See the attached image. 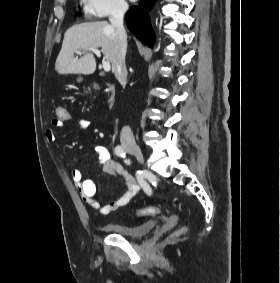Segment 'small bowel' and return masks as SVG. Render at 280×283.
I'll return each mask as SVG.
<instances>
[{
    "label": "small bowel",
    "instance_id": "obj_1",
    "mask_svg": "<svg viewBox=\"0 0 280 283\" xmlns=\"http://www.w3.org/2000/svg\"><path fill=\"white\" fill-rule=\"evenodd\" d=\"M64 122H57V118L53 120L52 127L48 128L45 132V137L48 142L52 143L57 138V129L63 127ZM90 122L81 118L78 120L77 126L81 130H85L89 127ZM95 152L98 157V167L105 173L119 176L123 179L126 186L124 193L117 199L101 205L95 198L96 185L93 180L84 178L83 173L79 169H73L71 171V179L76 186L82 200L89 205V207L101 215L106 216L117 209L127 205L131 199L139 192L140 185L135 177L126 171L123 166L116 160L111 158L110 152L106 145L98 144L95 146Z\"/></svg>",
    "mask_w": 280,
    "mask_h": 283
}]
</instances>
